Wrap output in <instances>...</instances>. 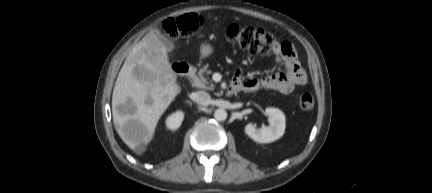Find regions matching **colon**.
Wrapping results in <instances>:
<instances>
[{"label": "colon", "instance_id": "1", "mask_svg": "<svg viewBox=\"0 0 432 193\" xmlns=\"http://www.w3.org/2000/svg\"><path fill=\"white\" fill-rule=\"evenodd\" d=\"M203 25L201 17L195 14H187L177 18H170L164 21L163 29L173 39L189 38L193 36ZM225 38L231 44L247 51L252 55L267 56L274 52L276 41L270 33L253 27L230 25L225 30ZM287 50V48H284ZM314 97L311 93L305 92L299 98V107L303 111L313 109Z\"/></svg>", "mask_w": 432, "mask_h": 193}]
</instances>
